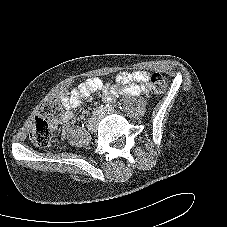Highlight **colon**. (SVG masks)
Instances as JSON below:
<instances>
[{
	"instance_id": "colon-1",
	"label": "colon",
	"mask_w": 227,
	"mask_h": 227,
	"mask_svg": "<svg viewBox=\"0 0 227 227\" xmlns=\"http://www.w3.org/2000/svg\"><path fill=\"white\" fill-rule=\"evenodd\" d=\"M149 79L154 92L163 93L166 91L168 80L164 75L151 73ZM59 109L60 99L57 97H50L41 103V114L35 118L33 128L30 132L32 142L38 147L46 148L50 146L52 127L46 117L55 114Z\"/></svg>"
}]
</instances>
